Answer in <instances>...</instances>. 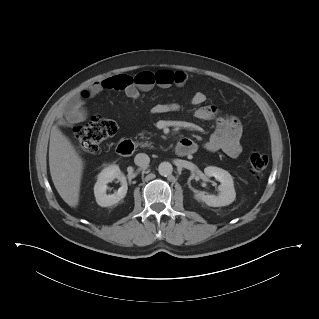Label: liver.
<instances>
[{
  "instance_id": "liver-1",
  "label": "liver",
  "mask_w": 319,
  "mask_h": 319,
  "mask_svg": "<svg viewBox=\"0 0 319 319\" xmlns=\"http://www.w3.org/2000/svg\"><path fill=\"white\" fill-rule=\"evenodd\" d=\"M49 167L54 186L70 206L79 203L84 162L70 139L54 126L50 135Z\"/></svg>"
}]
</instances>
